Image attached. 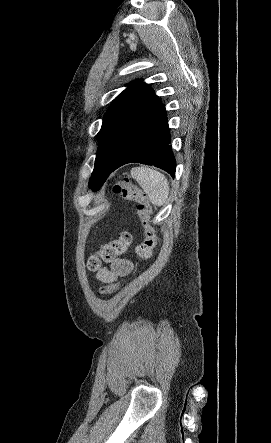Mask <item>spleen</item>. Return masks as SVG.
<instances>
[{
    "mask_svg": "<svg viewBox=\"0 0 271 443\" xmlns=\"http://www.w3.org/2000/svg\"><path fill=\"white\" fill-rule=\"evenodd\" d=\"M131 176L146 192L154 206H164L169 194V184L163 174L150 170V168H132Z\"/></svg>",
    "mask_w": 271,
    "mask_h": 443,
    "instance_id": "spleen-1",
    "label": "spleen"
}]
</instances>
